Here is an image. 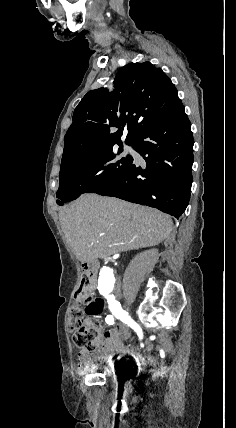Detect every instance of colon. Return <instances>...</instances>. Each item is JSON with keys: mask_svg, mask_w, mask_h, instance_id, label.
Listing matches in <instances>:
<instances>
[{"mask_svg": "<svg viewBox=\"0 0 236 428\" xmlns=\"http://www.w3.org/2000/svg\"><path fill=\"white\" fill-rule=\"evenodd\" d=\"M104 304L99 298L91 297L90 282L83 276L71 305L66 327L73 334L74 344L87 352H96L102 344L100 324L95 319L103 312Z\"/></svg>", "mask_w": 236, "mask_h": 428, "instance_id": "5ec220e1", "label": "colon"}]
</instances>
